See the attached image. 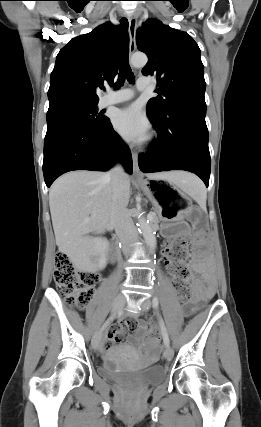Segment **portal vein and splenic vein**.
I'll return each instance as SVG.
<instances>
[{"instance_id": "1", "label": "portal vein and splenic vein", "mask_w": 261, "mask_h": 427, "mask_svg": "<svg viewBox=\"0 0 261 427\" xmlns=\"http://www.w3.org/2000/svg\"><path fill=\"white\" fill-rule=\"evenodd\" d=\"M148 218H151V213L148 214Z\"/></svg>"}]
</instances>
